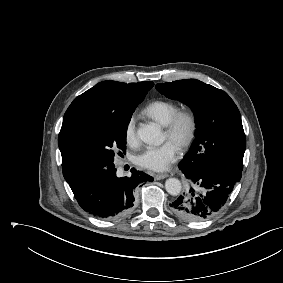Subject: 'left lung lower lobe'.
Instances as JSON below:
<instances>
[{
    "label": "left lung lower lobe",
    "instance_id": "0a47b994",
    "mask_svg": "<svg viewBox=\"0 0 283 283\" xmlns=\"http://www.w3.org/2000/svg\"><path fill=\"white\" fill-rule=\"evenodd\" d=\"M189 181V190L170 204L181 219L203 221L214 216L226 203L242 172L226 166L192 170L180 166Z\"/></svg>",
    "mask_w": 283,
    "mask_h": 283
}]
</instances>
